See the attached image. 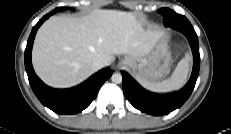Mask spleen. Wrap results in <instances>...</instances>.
<instances>
[{
    "instance_id": "obj_1",
    "label": "spleen",
    "mask_w": 231,
    "mask_h": 134,
    "mask_svg": "<svg viewBox=\"0 0 231 134\" xmlns=\"http://www.w3.org/2000/svg\"><path fill=\"white\" fill-rule=\"evenodd\" d=\"M192 61L191 54L187 53L183 59L180 60L174 72L169 79L164 81H140V84L153 92H169L180 89L187 81L190 62Z\"/></svg>"
}]
</instances>
